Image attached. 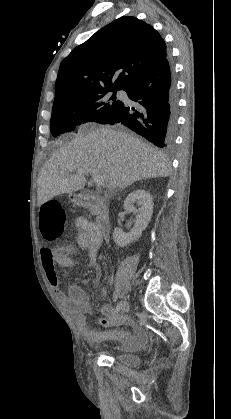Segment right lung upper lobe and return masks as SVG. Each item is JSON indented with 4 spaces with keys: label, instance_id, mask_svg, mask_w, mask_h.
I'll use <instances>...</instances> for the list:
<instances>
[{
    "label": "right lung upper lobe",
    "instance_id": "obj_1",
    "mask_svg": "<svg viewBox=\"0 0 231 419\" xmlns=\"http://www.w3.org/2000/svg\"><path fill=\"white\" fill-rule=\"evenodd\" d=\"M167 57L165 42L152 26L132 16L120 17L62 61L54 103L106 89L124 90Z\"/></svg>",
    "mask_w": 231,
    "mask_h": 419
}]
</instances>
